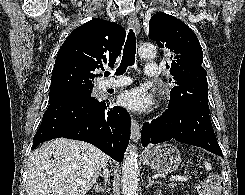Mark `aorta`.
<instances>
[{
	"mask_svg": "<svg viewBox=\"0 0 245 195\" xmlns=\"http://www.w3.org/2000/svg\"><path fill=\"white\" fill-rule=\"evenodd\" d=\"M139 55L142 58H153L156 47L153 44H143L139 48ZM138 175L137 151L131 146L125 153L122 167V195H138Z\"/></svg>",
	"mask_w": 245,
	"mask_h": 195,
	"instance_id": "aorta-1",
	"label": "aorta"
}]
</instances>
